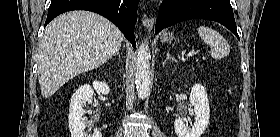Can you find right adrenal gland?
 <instances>
[{
    "label": "right adrenal gland",
    "mask_w": 280,
    "mask_h": 137,
    "mask_svg": "<svg viewBox=\"0 0 280 137\" xmlns=\"http://www.w3.org/2000/svg\"><path fill=\"white\" fill-rule=\"evenodd\" d=\"M113 56H118V58L120 59V49H118L114 54Z\"/></svg>",
    "instance_id": "2a0ac1e0"
}]
</instances>
